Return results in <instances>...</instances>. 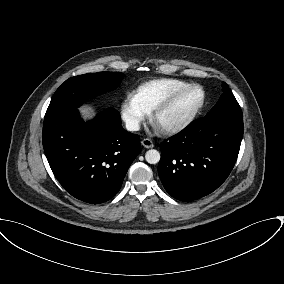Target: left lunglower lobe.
<instances>
[{"mask_svg": "<svg viewBox=\"0 0 284 284\" xmlns=\"http://www.w3.org/2000/svg\"><path fill=\"white\" fill-rule=\"evenodd\" d=\"M242 137L243 115L216 114L163 142L158 173L166 191L192 201L216 190L234 167Z\"/></svg>", "mask_w": 284, "mask_h": 284, "instance_id": "1", "label": "left lung lower lobe"}]
</instances>
